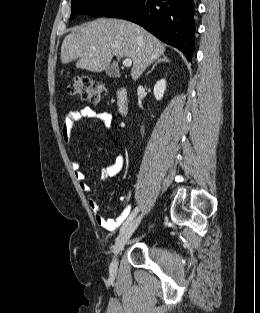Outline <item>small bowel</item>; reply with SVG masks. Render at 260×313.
<instances>
[{
	"instance_id": "obj_1",
	"label": "small bowel",
	"mask_w": 260,
	"mask_h": 313,
	"mask_svg": "<svg viewBox=\"0 0 260 313\" xmlns=\"http://www.w3.org/2000/svg\"><path fill=\"white\" fill-rule=\"evenodd\" d=\"M81 119H88L91 123L101 126L106 131H110L113 125L114 117L108 111H98L92 107L86 106L76 110H70L65 114L61 126L62 138L66 144L69 143L74 125ZM71 169L78 182L80 189L88 195L87 202L97 223L106 230H115L120 224L129 218L131 204L128 196H122L121 200L125 206L114 219L107 218L101 210L97 201L90 195V186L86 182V176L81 170L80 163L76 160L71 161ZM124 166V158L118 155L110 166L103 172V178H111L120 173ZM130 214V215H129Z\"/></svg>"
}]
</instances>
